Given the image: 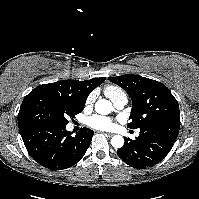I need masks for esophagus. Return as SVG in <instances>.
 Returning a JSON list of instances; mask_svg holds the SVG:
<instances>
[{
    "mask_svg": "<svg viewBox=\"0 0 199 199\" xmlns=\"http://www.w3.org/2000/svg\"><path fill=\"white\" fill-rule=\"evenodd\" d=\"M107 137H112L113 136V134H111V133H104Z\"/></svg>",
    "mask_w": 199,
    "mask_h": 199,
    "instance_id": "34e87169",
    "label": "esophagus"
}]
</instances>
